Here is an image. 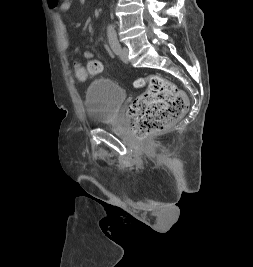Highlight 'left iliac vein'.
<instances>
[{"label":"left iliac vein","instance_id":"left-iliac-vein-1","mask_svg":"<svg viewBox=\"0 0 253 267\" xmlns=\"http://www.w3.org/2000/svg\"><path fill=\"white\" fill-rule=\"evenodd\" d=\"M128 54H129V50L127 47H122L119 51V56L125 63H128L129 61Z\"/></svg>","mask_w":253,"mask_h":267}]
</instances>
